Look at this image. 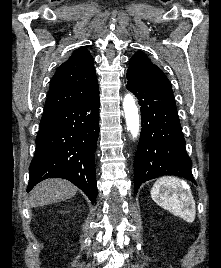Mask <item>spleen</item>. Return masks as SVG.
Masks as SVG:
<instances>
[{
    "label": "spleen",
    "instance_id": "obj_1",
    "mask_svg": "<svg viewBox=\"0 0 221 268\" xmlns=\"http://www.w3.org/2000/svg\"><path fill=\"white\" fill-rule=\"evenodd\" d=\"M151 197L160 207L188 223L195 220V201L186 181L177 177H161L154 183Z\"/></svg>",
    "mask_w": 221,
    "mask_h": 268
}]
</instances>
